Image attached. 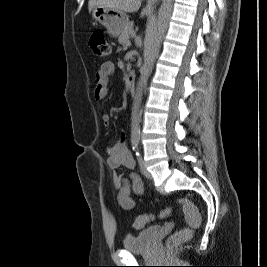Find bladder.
<instances>
[{
  "mask_svg": "<svg viewBox=\"0 0 267 267\" xmlns=\"http://www.w3.org/2000/svg\"><path fill=\"white\" fill-rule=\"evenodd\" d=\"M160 232V226L147 227L136 234H127L123 239V248L132 253H143L150 249Z\"/></svg>",
  "mask_w": 267,
  "mask_h": 267,
  "instance_id": "1",
  "label": "bladder"
}]
</instances>
